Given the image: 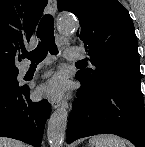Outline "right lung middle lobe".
Returning <instances> with one entry per match:
<instances>
[{"label":"right lung middle lobe","mask_w":145,"mask_h":147,"mask_svg":"<svg viewBox=\"0 0 145 147\" xmlns=\"http://www.w3.org/2000/svg\"><path fill=\"white\" fill-rule=\"evenodd\" d=\"M18 72L0 74V89L4 90H14L19 88L17 82Z\"/></svg>","instance_id":"dd1d6c3e"}]
</instances>
